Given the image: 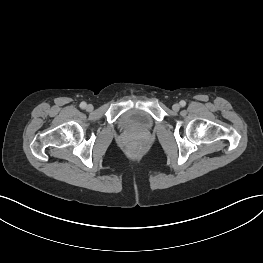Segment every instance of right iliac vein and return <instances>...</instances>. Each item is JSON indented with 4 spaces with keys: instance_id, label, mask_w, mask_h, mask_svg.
Listing matches in <instances>:
<instances>
[{
    "instance_id": "1",
    "label": "right iliac vein",
    "mask_w": 263,
    "mask_h": 263,
    "mask_svg": "<svg viewBox=\"0 0 263 263\" xmlns=\"http://www.w3.org/2000/svg\"><path fill=\"white\" fill-rule=\"evenodd\" d=\"M87 111H92L93 110V105L89 104L86 106Z\"/></svg>"
}]
</instances>
